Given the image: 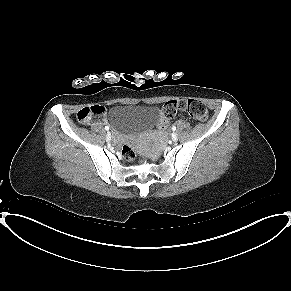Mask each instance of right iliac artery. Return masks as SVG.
<instances>
[{"instance_id": "right-iliac-artery-1", "label": "right iliac artery", "mask_w": 291, "mask_h": 291, "mask_svg": "<svg viewBox=\"0 0 291 291\" xmlns=\"http://www.w3.org/2000/svg\"><path fill=\"white\" fill-rule=\"evenodd\" d=\"M105 130H107V131H108V130H109V127H108V126H105Z\"/></svg>"}]
</instances>
